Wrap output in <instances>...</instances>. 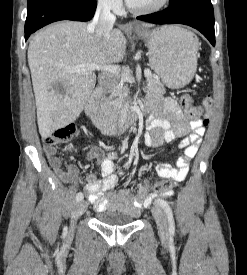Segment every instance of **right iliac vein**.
Here are the masks:
<instances>
[{"mask_svg": "<svg viewBox=\"0 0 247 275\" xmlns=\"http://www.w3.org/2000/svg\"><path fill=\"white\" fill-rule=\"evenodd\" d=\"M86 209H87V202L84 200L78 201L75 204L73 213H72L71 229L69 231L70 235H72L74 232L75 223H76L77 219L86 211Z\"/></svg>", "mask_w": 247, "mask_h": 275, "instance_id": "63e3f726", "label": "right iliac vein"}]
</instances>
